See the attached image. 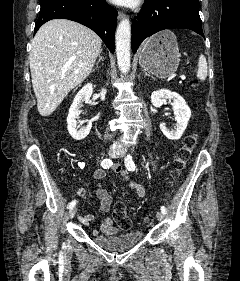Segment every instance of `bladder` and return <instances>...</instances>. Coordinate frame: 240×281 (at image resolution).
<instances>
[{
    "label": "bladder",
    "instance_id": "bladder-1",
    "mask_svg": "<svg viewBox=\"0 0 240 281\" xmlns=\"http://www.w3.org/2000/svg\"><path fill=\"white\" fill-rule=\"evenodd\" d=\"M143 237L140 231H131L123 234L98 235L93 237L94 242L101 248L109 251H124L137 245Z\"/></svg>",
    "mask_w": 240,
    "mask_h": 281
}]
</instances>
